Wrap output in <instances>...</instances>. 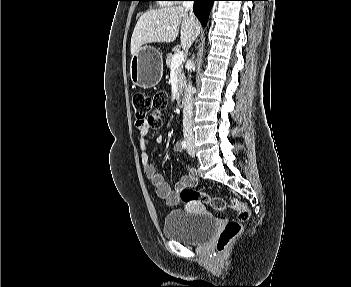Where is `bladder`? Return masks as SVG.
Segmentation results:
<instances>
[{
    "label": "bladder",
    "instance_id": "1",
    "mask_svg": "<svg viewBox=\"0 0 351 287\" xmlns=\"http://www.w3.org/2000/svg\"><path fill=\"white\" fill-rule=\"evenodd\" d=\"M217 227V220L210 215H197L182 209L170 211L164 220L165 238L185 245L198 246L210 239Z\"/></svg>",
    "mask_w": 351,
    "mask_h": 287
}]
</instances>
